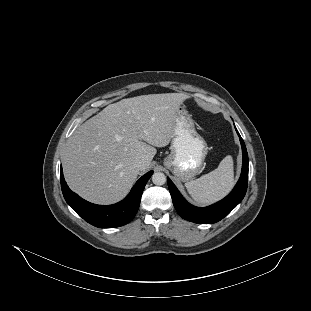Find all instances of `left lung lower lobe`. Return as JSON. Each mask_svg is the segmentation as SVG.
Listing matches in <instances>:
<instances>
[{"label":"left lung lower lobe","instance_id":"left-lung-lower-lobe-1","mask_svg":"<svg viewBox=\"0 0 311 311\" xmlns=\"http://www.w3.org/2000/svg\"><path fill=\"white\" fill-rule=\"evenodd\" d=\"M236 132L240 138L242 146V171L239 181L227 197L211 206L198 208L189 204L179 193L172 181L167 178L168 187L174 207L178 214L185 220L200 224H211L218 222L228 213H230L244 198L248 184V154L245 143L237 129Z\"/></svg>","mask_w":311,"mask_h":311}]
</instances>
